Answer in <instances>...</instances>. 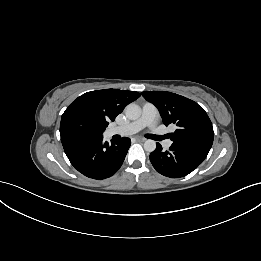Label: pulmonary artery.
Returning <instances> with one entry per match:
<instances>
[{"label": "pulmonary artery", "mask_w": 261, "mask_h": 261, "mask_svg": "<svg viewBox=\"0 0 261 261\" xmlns=\"http://www.w3.org/2000/svg\"><path fill=\"white\" fill-rule=\"evenodd\" d=\"M158 122V110L152 103H145L142 108V114L139 119L130 122L124 126L113 127L108 130L109 135L129 136L135 134L145 127L155 130ZM172 141L167 139L163 141L164 148H169Z\"/></svg>", "instance_id": "e3ab8cb5"}]
</instances>
